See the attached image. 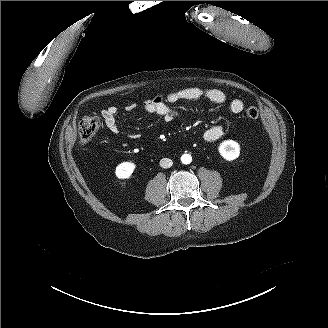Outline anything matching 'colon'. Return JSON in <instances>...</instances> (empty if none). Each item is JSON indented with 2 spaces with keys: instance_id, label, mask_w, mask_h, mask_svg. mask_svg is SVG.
Returning a JSON list of instances; mask_svg holds the SVG:
<instances>
[{
  "instance_id": "obj_1",
  "label": "colon",
  "mask_w": 328,
  "mask_h": 328,
  "mask_svg": "<svg viewBox=\"0 0 328 328\" xmlns=\"http://www.w3.org/2000/svg\"><path fill=\"white\" fill-rule=\"evenodd\" d=\"M246 115L251 120L259 117V111L256 107L251 106L246 110ZM100 128V121L96 116L86 115L79 123V137L82 144L89 143Z\"/></svg>"
}]
</instances>
